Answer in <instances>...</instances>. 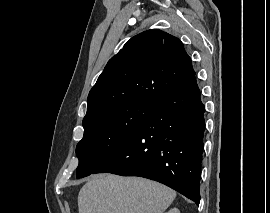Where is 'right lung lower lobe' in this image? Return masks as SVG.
<instances>
[{
    "label": "right lung lower lobe",
    "mask_w": 270,
    "mask_h": 213,
    "mask_svg": "<svg viewBox=\"0 0 270 213\" xmlns=\"http://www.w3.org/2000/svg\"><path fill=\"white\" fill-rule=\"evenodd\" d=\"M205 107L195 75L159 101L134 135L95 173L140 176L200 202Z\"/></svg>",
    "instance_id": "1"
}]
</instances>
